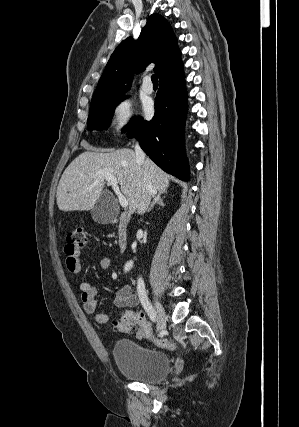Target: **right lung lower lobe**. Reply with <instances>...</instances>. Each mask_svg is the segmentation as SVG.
Returning a JSON list of instances; mask_svg holds the SVG:
<instances>
[{
	"mask_svg": "<svg viewBox=\"0 0 299 427\" xmlns=\"http://www.w3.org/2000/svg\"><path fill=\"white\" fill-rule=\"evenodd\" d=\"M187 93L183 69L160 79L155 99V115L129 132L137 137L145 153L165 172L188 180L189 166L184 150Z\"/></svg>",
	"mask_w": 299,
	"mask_h": 427,
	"instance_id": "right-lung-lower-lobe-1",
	"label": "right lung lower lobe"
}]
</instances>
